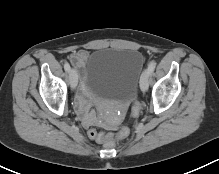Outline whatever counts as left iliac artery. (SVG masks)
<instances>
[{"label":"left iliac artery","instance_id":"left-iliac-artery-1","mask_svg":"<svg viewBox=\"0 0 219 174\" xmlns=\"http://www.w3.org/2000/svg\"><path fill=\"white\" fill-rule=\"evenodd\" d=\"M155 67H156V62L151 61L148 65V68H147L149 74H151L154 71Z\"/></svg>","mask_w":219,"mask_h":174}]
</instances>
